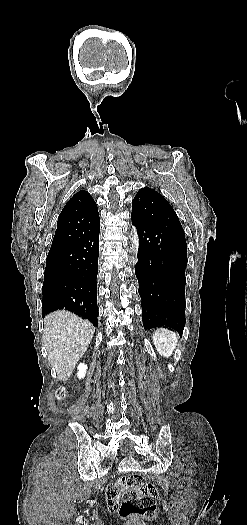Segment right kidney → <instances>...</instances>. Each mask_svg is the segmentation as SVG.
Listing matches in <instances>:
<instances>
[{"label":"right kidney","instance_id":"ca27d5eb","mask_svg":"<svg viewBox=\"0 0 247 525\" xmlns=\"http://www.w3.org/2000/svg\"><path fill=\"white\" fill-rule=\"evenodd\" d=\"M87 369H88V367H87V365H85V363H80V365H78V367H77V371H78L77 377H78V379H84V377H85V375L87 373Z\"/></svg>","mask_w":247,"mask_h":525}]
</instances>
